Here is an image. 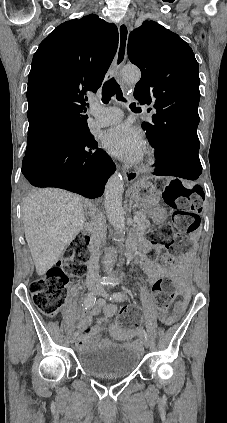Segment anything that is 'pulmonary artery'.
Segmentation results:
<instances>
[{
	"instance_id": "pulmonary-artery-1",
	"label": "pulmonary artery",
	"mask_w": 227,
	"mask_h": 423,
	"mask_svg": "<svg viewBox=\"0 0 227 423\" xmlns=\"http://www.w3.org/2000/svg\"><path fill=\"white\" fill-rule=\"evenodd\" d=\"M94 115L93 126L103 128L119 124L123 120V112L118 107H96L91 110ZM155 112V110H153ZM148 115L146 119H150Z\"/></svg>"
}]
</instances>
